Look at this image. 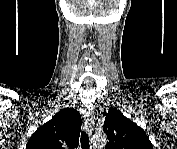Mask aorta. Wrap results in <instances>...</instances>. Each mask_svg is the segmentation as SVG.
<instances>
[{
    "mask_svg": "<svg viewBox=\"0 0 177 149\" xmlns=\"http://www.w3.org/2000/svg\"><path fill=\"white\" fill-rule=\"evenodd\" d=\"M107 143V138L105 135H95L92 138V144L94 147H103Z\"/></svg>",
    "mask_w": 177,
    "mask_h": 149,
    "instance_id": "obj_1",
    "label": "aorta"
}]
</instances>
